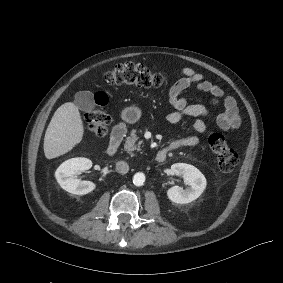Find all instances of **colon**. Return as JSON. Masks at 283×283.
<instances>
[{"label": "colon", "instance_id": "1", "mask_svg": "<svg viewBox=\"0 0 283 283\" xmlns=\"http://www.w3.org/2000/svg\"><path fill=\"white\" fill-rule=\"evenodd\" d=\"M107 85H128L135 87H158L165 83V77L153 67L135 63H123L109 70L104 76ZM98 107L90 111L85 119L90 130L98 137L106 135L110 116L102 109L106 98L100 94L97 98ZM208 145L216 156L218 166L224 173L232 172L238 164V155L231 149L225 137L220 133L208 136Z\"/></svg>", "mask_w": 283, "mask_h": 283}]
</instances>
